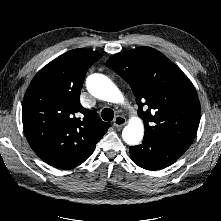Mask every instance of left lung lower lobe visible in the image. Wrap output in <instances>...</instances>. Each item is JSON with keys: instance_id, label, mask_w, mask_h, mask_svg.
<instances>
[{"instance_id": "obj_1", "label": "left lung lower lobe", "mask_w": 221, "mask_h": 221, "mask_svg": "<svg viewBox=\"0 0 221 221\" xmlns=\"http://www.w3.org/2000/svg\"><path fill=\"white\" fill-rule=\"evenodd\" d=\"M129 151L133 162L147 170L168 167L184 153L148 137H144L142 144L131 146Z\"/></svg>"}]
</instances>
